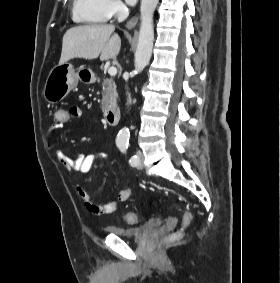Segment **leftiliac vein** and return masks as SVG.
I'll list each match as a JSON object with an SVG mask.
<instances>
[{"label": "left iliac vein", "mask_w": 280, "mask_h": 283, "mask_svg": "<svg viewBox=\"0 0 280 283\" xmlns=\"http://www.w3.org/2000/svg\"><path fill=\"white\" fill-rule=\"evenodd\" d=\"M137 156L139 158V161L136 166L138 169H143V153L141 151H138Z\"/></svg>", "instance_id": "4c4485c4"}]
</instances>
